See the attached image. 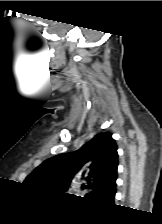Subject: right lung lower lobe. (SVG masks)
Masks as SVG:
<instances>
[{
    "label": "right lung lower lobe",
    "mask_w": 162,
    "mask_h": 224,
    "mask_svg": "<svg viewBox=\"0 0 162 224\" xmlns=\"http://www.w3.org/2000/svg\"><path fill=\"white\" fill-rule=\"evenodd\" d=\"M115 196V195H114ZM114 196H113V198L111 199V201L110 202H113V200H114Z\"/></svg>",
    "instance_id": "1"
}]
</instances>
